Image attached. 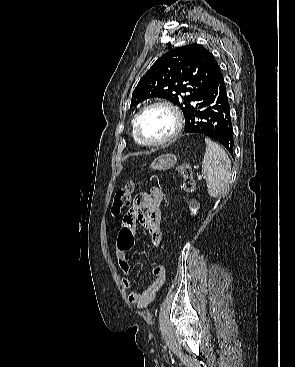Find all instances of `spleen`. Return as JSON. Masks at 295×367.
Listing matches in <instances>:
<instances>
[{
	"label": "spleen",
	"instance_id": "obj_1",
	"mask_svg": "<svg viewBox=\"0 0 295 367\" xmlns=\"http://www.w3.org/2000/svg\"><path fill=\"white\" fill-rule=\"evenodd\" d=\"M206 152L202 172L206 176L208 194L212 198L223 195L229 187L231 161L225 150L216 142L205 138Z\"/></svg>",
	"mask_w": 295,
	"mask_h": 367
}]
</instances>
